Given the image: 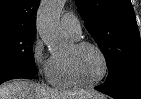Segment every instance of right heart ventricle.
Here are the masks:
<instances>
[{
    "instance_id": "obj_1",
    "label": "right heart ventricle",
    "mask_w": 141,
    "mask_h": 99,
    "mask_svg": "<svg viewBox=\"0 0 141 99\" xmlns=\"http://www.w3.org/2000/svg\"><path fill=\"white\" fill-rule=\"evenodd\" d=\"M49 82L56 88H70L75 85L69 75L66 58L53 57V67Z\"/></svg>"
}]
</instances>
